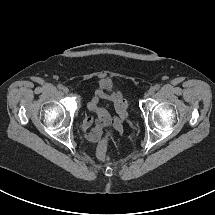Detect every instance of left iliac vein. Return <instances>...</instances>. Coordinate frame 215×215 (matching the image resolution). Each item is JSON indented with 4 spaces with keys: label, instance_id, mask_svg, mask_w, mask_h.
Here are the masks:
<instances>
[{
    "label": "left iliac vein",
    "instance_id": "obj_1",
    "mask_svg": "<svg viewBox=\"0 0 215 215\" xmlns=\"http://www.w3.org/2000/svg\"><path fill=\"white\" fill-rule=\"evenodd\" d=\"M155 92V89L153 87H151L147 93H146V96H151L153 93Z\"/></svg>",
    "mask_w": 215,
    "mask_h": 215
}]
</instances>
